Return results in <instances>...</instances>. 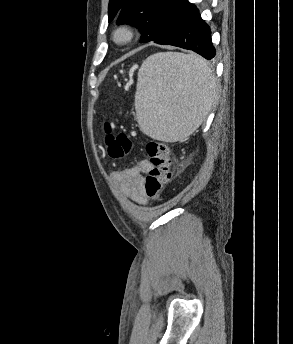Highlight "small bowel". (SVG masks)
<instances>
[{
    "label": "small bowel",
    "instance_id": "obj_1",
    "mask_svg": "<svg viewBox=\"0 0 293 344\" xmlns=\"http://www.w3.org/2000/svg\"><path fill=\"white\" fill-rule=\"evenodd\" d=\"M151 169L152 164L148 160H141L117 174L122 191L128 199L140 205L146 204L147 198L143 186L144 174Z\"/></svg>",
    "mask_w": 293,
    "mask_h": 344
}]
</instances>
